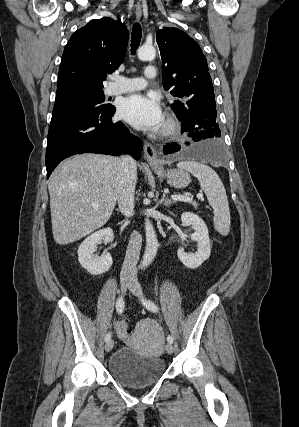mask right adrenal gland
<instances>
[{"mask_svg":"<svg viewBox=\"0 0 299 427\" xmlns=\"http://www.w3.org/2000/svg\"><path fill=\"white\" fill-rule=\"evenodd\" d=\"M116 211L120 212V210H119V209H116Z\"/></svg>","mask_w":299,"mask_h":427,"instance_id":"obj_1","label":"right adrenal gland"}]
</instances>
